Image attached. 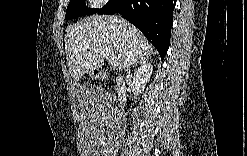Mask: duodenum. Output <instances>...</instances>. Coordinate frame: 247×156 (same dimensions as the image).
Wrapping results in <instances>:
<instances>
[{
	"label": "duodenum",
	"instance_id": "duodenum-1",
	"mask_svg": "<svg viewBox=\"0 0 247 156\" xmlns=\"http://www.w3.org/2000/svg\"><path fill=\"white\" fill-rule=\"evenodd\" d=\"M117 90H118L119 95L121 97L124 96L127 93L126 86L121 80L117 81Z\"/></svg>",
	"mask_w": 247,
	"mask_h": 156
}]
</instances>
